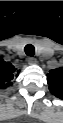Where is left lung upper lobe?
<instances>
[{
    "mask_svg": "<svg viewBox=\"0 0 63 123\" xmlns=\"http://www.w3.org/2000/svg\"><path fill=\"white\" fill-rule=\"evenodd\" d=\"M49 89L53 95L63 98V68L51 70L47 74Z\"/></svg>",
    "mask_w": 63,
    "mask_h": 123,
    "instance_id": "obj_1",
    "label": "left lung upper lobe"
}]
</instances>
